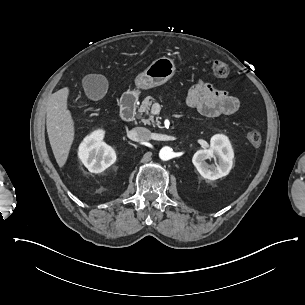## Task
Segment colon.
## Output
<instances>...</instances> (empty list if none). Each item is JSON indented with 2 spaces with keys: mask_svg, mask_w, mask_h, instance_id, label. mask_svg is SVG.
Wrapping results in <instances>:
<instances>
[{
  "mask_svg": "<svg viewBox=\"0 0 305 305\" xmlns=\"http://www.w3.org/2000/svg\"><path fill=\"white\" fill-rule=\"evenodd\" d=\"M212 69L214 74L222 79L229 76L230 70L227 64L220 60H214L212 63ZM249 143L254 147H259L263 143L262 132L259 130H250L247 134Z\"/></svg>",
  "mask_w": 305,
  "mask_h": 305,
  "instance_id": "5ec220e1",
  "label": "colon"
}]
</instances>
